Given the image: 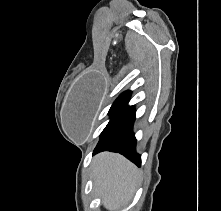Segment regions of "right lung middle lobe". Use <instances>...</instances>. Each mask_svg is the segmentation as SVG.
Masks as SVG:
<instances>
[{"label": "right lung middle lobe", "mask_w": 221, "mask_h": 211, "mask_svg": "<svg viewBox=\"0 0 221 211\" xmlns=\"http://www.w3.org/2000/svg\"><path fill=\"white\" fill-rule=\"evenodd\" d=\"M131 92L127 91L123 94H121L113 103L109 110L110 114V121L103 130L102 134L117 120L119 115L122 113V111L126 108L129 99H130Z\"/></svg>", "instance_id": "1"}]
</instances>
